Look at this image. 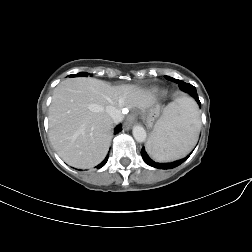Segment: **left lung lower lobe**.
<instances>
[{
  "label": "left lung lower lobe",
  "instance_id": "obj_1",
  "mask_svg": "<svg viewBox=\"0 0 252 252\" xmlns=\"http://www.w3.org/2000/svg\"><path fill=\"white\" fill-rule=\"evenodd\" d=\"M176 82H178L179 88L182 91H185V92L189 93L190 95H192L195 98V100L198 102V104L200 105V101H199V98H198V95H197L196 88L193 85L185 83V82L180 81V80H176ZM141 155H142V158L144 159L146 164H148V165H150L152 167H155V168H159V169H171V168L177 167L180 164H182L190 156V155H188L184 159L174 161V162H171V163H156L148 156V154L146 153L144 147L141 150Z\"/></svg>",
  "mask_w": 252,
  "mask_h": 252
}]
</instances>
